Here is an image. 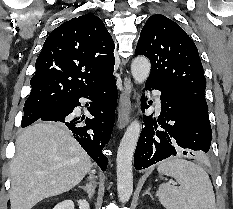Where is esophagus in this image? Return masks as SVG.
Instances as JSON below:
<instances>
[{
  "label": "esophagus",
  "instance_id": "34e87169",
  "mask_svg": "<svg viewBox=\"0 0 233 209\" xmlns=\"http://www.w3.org/2000/svg\"><path fill=\"white\" fill-rule=\"evenodd\" d=\"M124 89L119 97V108H118V128L122 130L127 126L130 120L131 114V94H132V82L130 78H124Z\"/></svg>",
  "mask_w": 233,
  "mask_h": 209
}]
</instances>
